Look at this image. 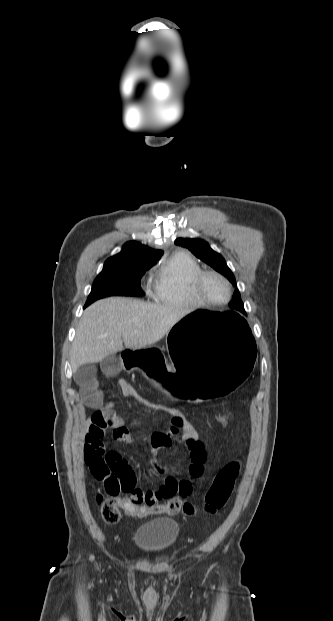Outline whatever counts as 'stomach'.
I'll list each match as a JSON object with an SVG mask.
<instances>
[{
	"mask_svg": "<svg viewBox=\"0 0 333 621\" xmlns=\"http://www.w3.org/2000/svg\"><path fill=\"white\" fill-rule=\"evenodd\" d=\"M166 342L143 349L126 348L122 357L130 368L143 370L152 378V389L174 395L178 402L194 397L231 400L251 377L256 362V343L249 326L242 316L231 312L181 314Z\"/></svg>",
	"mask_w": 333,
	"mask_h": 621,
	"instance_id": "1",
	"label": "stomach"
}]
</instances>
